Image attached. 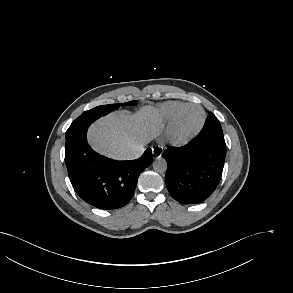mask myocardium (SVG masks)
<instances>
[{
  "mask_svg": "<svg viewBox=\"0 0 293 293\" xmlns=\"http://www.w3.org/2000/svg\"><path fill=\"white\" fill-rule=\"evenodd\" d=\"M187 107H197L202 113V118L199 125L189 134L185 136H180L177 133L178 119L181 112ZM206 112L203 107L196 103H183L181 104L176 111L174 112L172 118L170 119L167 131H166V140L167 142L175 147H181L190 143L203 129L206 122Z\"/></svg>",
  "mask_w": 293,
  "mask_h": 293,
  "instance_id": "1",
  "label": "myocardium"
}]
</instances>
